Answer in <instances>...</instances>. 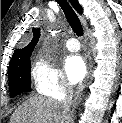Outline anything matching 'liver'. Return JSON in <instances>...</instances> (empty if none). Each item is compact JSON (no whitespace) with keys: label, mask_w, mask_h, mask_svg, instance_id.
I'll return each instance as SVG.
<instances>
[{"label":"liver","mask_w":122,"mask_h":123,"mask_svg":"<svg viewBox=\"0 0 122 123\" xmlns=\"http://www.w3.org/2000/svg\"><path fill=\"white\" fill-rule=\"evenodd\" d=\"M72 114H64L56 100L32 96L12 114L10 123H71Z\"/></svg>","instance_id":"obj_1"}]
</instances>
